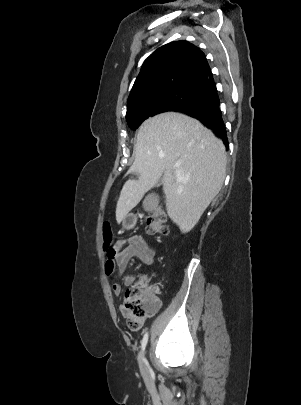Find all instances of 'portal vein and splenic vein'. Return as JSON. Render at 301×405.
<instances>
[{
    "label": "portal vein and splenic vein",
    "mask_w": 301,
    "mask_h": 405,
    "mask_svg": "<svg viewBox=\"0 0 301 405\" xmlns=\"http://www.w3.org/2000/svg\"><path fill=\"white\" fill-rule=\"evenodd\" d=\"M175 165H176V166H179L180 164L177 162Z\"/></svg>",
    "instance_id": "portal-vein-and-splenic-vein-1"
}]
</instances>
